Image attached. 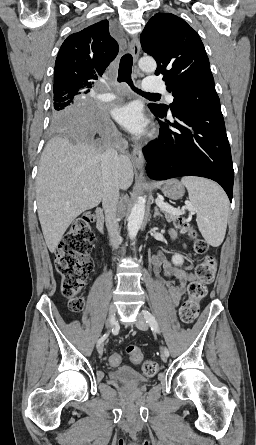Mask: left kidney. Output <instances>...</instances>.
<instances>
[{
  "instance_id": "obj_1",
  "label": "left kidney",
  "mask_w": 256,
  "mask_h": 445,
  "mask_svg": "<svg viewBox=\"0 0 256 445\" xmlns=\"http://www.w3.org/2000/svg\"><path fill=\"white\" fill-rule=\"evenodd\" d=\"M172 262L175 265H182L184 263L183 256L180 254H175L172 256Z\"/></svg>"
}]
</instances>
